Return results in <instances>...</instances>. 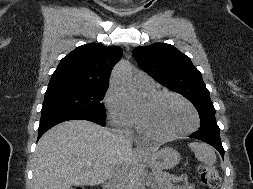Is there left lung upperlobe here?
Masks as SVG:
<instances>
[{
  "instance_id": "obj_1",
  "label": "left lung upper lobe",
  "mask_w": 253,
  "mask_h": 189,
  "mask_svg": "<svg viewBox=\"0 0 253 189\" xmlns=\"http://www.w3.org/2000/svg\"><path fill=\"white\" fill-rule=\"evenodd\" d=\"M132 54L139 66L158 83L182 94L195 106L201 119L200 129L219 130L209 91L188 56L165 43L137 47Z\"/></svg>"
}]
</instances>
